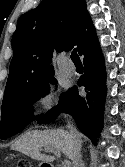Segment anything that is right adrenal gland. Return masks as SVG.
<instances>
[{
	"instance_id": "1",
	"label": "right adrenal gland",
	"mask_w": 125,
	"mask_h": 167,
	"mask_svg": "<svg viewBox=\"0 0 125 167\" xmlns=\"http://www.w3.org/2000/svg\"><path fill=\"white\" fill-rule=\"evenodd\" d=\"M79 167H85V162L82 159V155H80V165Z\"/></svg>"
}]
</instances>
